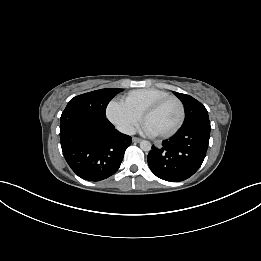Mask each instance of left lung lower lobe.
Here are the masks:
<instances>
[{"label": "left lung lower lobe", "mask_w": 261, "mask_h": 261, "mask_svg": "<svg viewBox=\"0 0 261 261\" xmlns=\"http://www.w3.org/2000/svg\"><path fill=\"white\" fill-rule=\"evenodd\" d=\"M210 121L201 120L183 125L161 147L152 146L147 160L157 177L179 182L191 177L201 166L209 143Z\"/></svg>", "instance_id": "obj_1"}]
</instances>
